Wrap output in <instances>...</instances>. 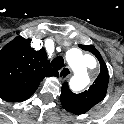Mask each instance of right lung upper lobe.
<instances>
[{
    "label": "right lung upper lobe",
    "instance_id": "right-lung-upper-lobe-1",
    "mask_svg": "<svg viewBox=\"0 0 124 124\" xmlns=\"http://www.w3.org/2000/svg\"><path fill=\"white\" fill-rule=\"evenodd\" d=\"M49 76L59 73L50 66L44 49L31 47L30 39L18 36L0 50V97L5 101L28 99Z\"/></svg>",
    "mask_w": 124,
    "mask_h": 124
}]
</instances>
